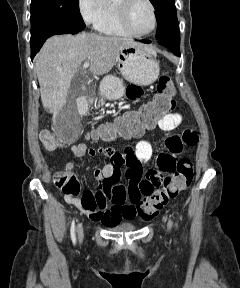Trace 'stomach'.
Segmentation results:
<instances>
[{"instance_id":"stomach-1","label":"stomach","mask_w":240,"mask_h":288,"mask_svg":"<svg viewBox=\"0 0 240 288\" xmlns=\"http://www.w3.org/2000/svg\"><path fill=\"white\" fill-rule=\"evenodd\" d=\"M116 64L126 80L140 86L152 84L160 72L156 53L148 47L121 48L117 54ZM100 93L109 100H116L124 95L125 87L120 78L108 75L101 81Z\"/></svg>"}]
</instances>
